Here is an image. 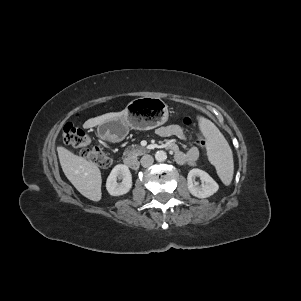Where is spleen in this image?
<instances>
[{
  "label": "spleen",
  "mask_w": 301,
  "mask_h": 301,
  "mask_svg": "<svg viewBox=\"0 0 301 301\" xmlns=\"http://www.w3.org/2000/svg\"><path fill=\"white\" fill-rule=\"evenodd\" d=\"M199 127L207 138L209 161L215 166L217 174L225 185H230L233 172L232 150L223 134L210 120L198 117Z\"/></svg>",
  "instance_id": "1"
}]
</instances>
